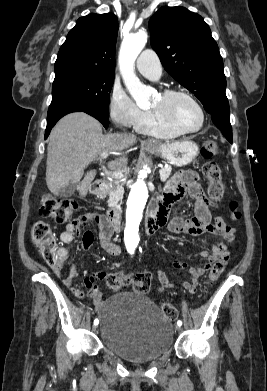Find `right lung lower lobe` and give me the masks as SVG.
<instances>
[{"instance_id":"98d812e1","label":"right lung lower lobe","mask_w":267,"mask_h":391,"mask_svg":"<svg viewBox=\"0 0 267 391\" xmlns=\"http://www.w3.org/2000/svg\"><path fill=\"white\" fill-rule=\"evenodd\" d=\"M80 111H83V112L95 117L97 120H99L103 124V126L105 128L108 127V118H109L108 114L103 113V112L98 111L93 108H86V107H82V106H78V105H70V106H65L63 108H60V109L47 115V128H46V132H45V139L48 137L51 129L53 128V126L56 124V122L60 118H62L63 116H65L68 113L80 112Z\"/></svg>"}]
</instances>
